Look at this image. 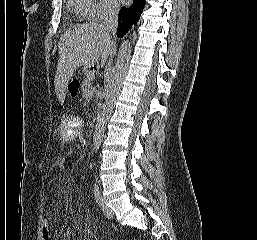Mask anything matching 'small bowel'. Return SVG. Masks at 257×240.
Segmentation results:
<instances>
[{"label":"small bowel","mask_w":257,"mask_h":240,"mask_svg":"<svg viewBox=\"0 0 257 240\" xmlns=\"http://www.w3.org/2000/svg\"><path fill=\"white\" fill-rule=\"evenodd\" d=\"M75 236L74 230L69 226L68 220L66 219L61 227V229L58 231V233L55 235L53 240H71Z\"/></svg>","instance_id":"obj_1"}]
</instances>
